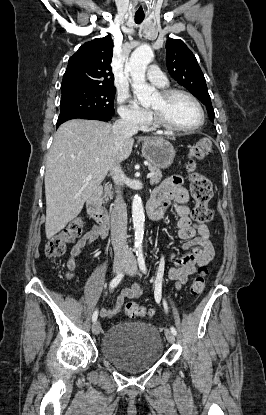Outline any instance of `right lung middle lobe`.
I'll return each mask as SVG.
<instances>
[{
	"mask_svg": "<svg viewBox=\"0 0 266 415\" xmlns=\"http://www.w3.org/2000/svg\"><path fill=\"white\" fill-rule=\"evenodd\" d=\"M115 87H87L62 92L60 113L85 112L114 115Z\"/></svg>",
	"mask_w": 266,
	"mask_h": 415,
	"instance_id": "1",
	"label": "right lung middle lobe"
}]
</instances>
